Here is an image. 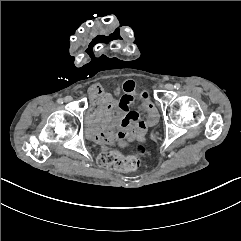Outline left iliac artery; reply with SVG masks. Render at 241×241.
I'll return each mask as SVG.
<instances>
[{"label": "left iliac artery", "instance_id": "obj_1", "mask_svg": "<svg viewBox=\"0 0 241 241\" xmlns=\"http://www.w3.org/2000/svg\"><path fill=\"white\" fill-rule=\"evenodd\" d=\"M174 88L178 90V89L181 88V85H180L179 83H176V84L174 85Z\"/></svg>", "mask_w": 241, "mask_h": 241}]
</instances>
